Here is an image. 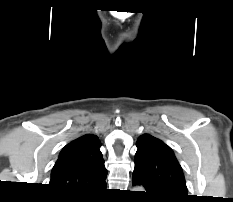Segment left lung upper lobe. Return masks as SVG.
<instances>
[{
    "mask_svg": "<svg viewBox=\"0 0 233 202\" xmlns=\"http://www.w3.org/2000/svg\"><path fill=\"white\" fill-rule=\"evenodd\" d=\"M136 145L133 183L143 185L150 199L184 201L187 198L186 182L172 149L149 134L140 136Z\"/></svg>",
    "mask_w": 233,
    "mask_h": 202,
    "instance_id": "left-lung-upper-lobe-1",
    "label": "left lung upper lobe"
}]
</instances>
